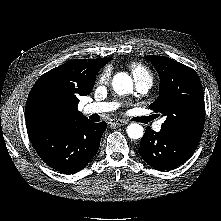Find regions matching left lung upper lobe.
Listing matches in <instances>:
<instances>
[{"label": "left lung upper lobe", "instance_id": "left-lung-upper-lobe-1", "mask_svg": "<svg viewBox=\"0 0 221 221\" xmlns=\"http://www.w3.org/2000/svg\"><path fill=\"white\" fill-rule=\"evenodd\" d=\"M145 57L160 76L159 97L149 108L166 117L161 132L198 143L204 127L205 105L197 73L168 57Z\"/></svg>", "mask_w": 221, "mask_h": 221}]
</instances>
